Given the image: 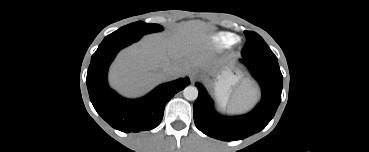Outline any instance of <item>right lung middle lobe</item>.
<instances>
[{
    "mask_svg": "<svg viewBox=\"0 0 369 152\" xmlns=\"http://www.w3.org/2000/svg\"><path fill=\"white\" fill-rule=\"evenodd\" d=\"M163 27L158 24H146L142 21H138L129 25H126L112 34L126 33L134 36L142 37L145 34L161 31Z\"/></svg>",
    "mask_w": 369,
    "mask_h": 152,
    "instance_id": "right-lung-middle-lobe-1",
    "label": "right lung middle lobe"
}]
</instances>
